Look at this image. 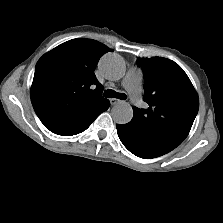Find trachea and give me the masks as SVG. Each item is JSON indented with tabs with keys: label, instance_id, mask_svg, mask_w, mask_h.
I'll use <instances>...</instances> for the list:
<instances>
[{
	"label": "trachea",
	"instance_id": "3493384b",
	"mask_svg": "<svg viewBox=\"0 0 223 223\" xmlns=\"http://www.w3.org/2000/svg\"><path fill=\"white\" fill-rule=\"evenodd\" d=\"M104 97H106V98H118V99H121V100H125L126 99V94L118 93V92H115L112 89H108V90H105Z\"/></svg>",
	"mask_w": 223,
	"mask_h": 223
}]
</instances>
